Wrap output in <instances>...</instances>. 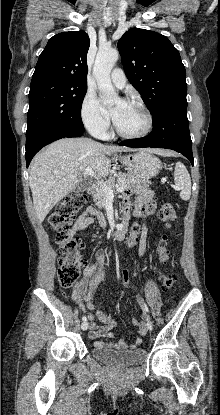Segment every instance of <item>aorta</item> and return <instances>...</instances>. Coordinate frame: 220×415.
Wrapping results in <instances>:
<instances>
[{
	"instance_id": "aorta-1",
	"label": "aorta",
	"mask_w": 220,
	"mask_h": 415,
	"mask_svg": "<svg viewBox=\"0 0 220 415\" xmlns=\"http://www.w3.org/2000/svg\"><path fill=\"white\" fill-rule=\"evenodd\" d=\"M119 53L115 49H99L94 63L93 74L101 92L104 105L112 106L120 101L111 83L110 73L117 62Z\"/></svg>"
}]
</instances>
